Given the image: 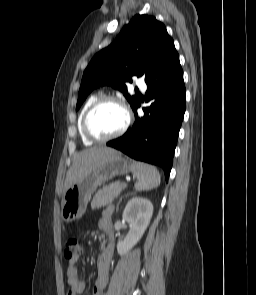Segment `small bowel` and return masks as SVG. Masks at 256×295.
I'll use <instances>...</instances> for the list:
<instances>
[{
    "label": "small bowel",
    "mask_w": 256,
    "mask_h": 295,
    "mask_svg": "<svg viewBox=\"0 0 256 295\" xmlns=\"http://www.w3.org/2000/svg\"><path fill=\"white\" fill-rule=\"evenodd\" d=\"M100 229L105 233L107 243L102 250L97 261V279L92 289V295H103L110 273V264L114 251V236L111 221V209L105 210L100 222ZM78 258L69 261L67 266V283L69 286L68 295H81L84 293L86 285L83 279L79 277L77 268Z\"/></svg>",
    "instance_id": "obj_1"
}]
</instances>
